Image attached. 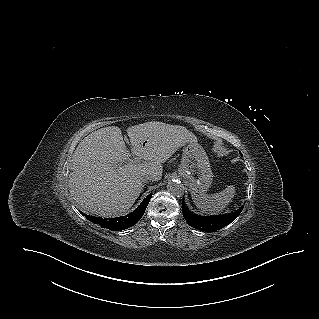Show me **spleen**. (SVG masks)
<instances>
[{
  "label": "spleen",
  "mask_w": 319,
  "mask_h": 319,
  "mask_svg": "<svg viewBox=\"0 0 319 319\" xmlns=\"http://www.w3.org/2000/svg\"><path fill=\"white\" fill-rule=\"evenodd\" d=\"M235 187L233 185L227 186L223 191L213 195H198L192 194V199L203 212L218 213L222 211L234 198Z\"/></svg>",
  "instance_id": "obj_1"
}]
</instances>
